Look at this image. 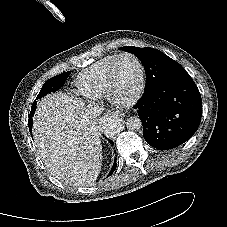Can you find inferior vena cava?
Wrapping results in <instances>:
<instances>
[{"label":"inferior vena cava","mask_w":227,"mask_h":227,"mask_svg":"<svg viewBox=\"0 0 227 227\" xmlns=\"http://www.w3.org/2000/svg\"><path fill=\"white\" fill-rule=\"evenodd\" d=\"M87 112L90 117L97 118L102 113V109L98 105H89Z\"/></svg>","instance_id":"602c4592"}]
</instances>
